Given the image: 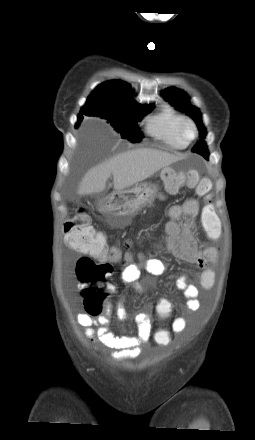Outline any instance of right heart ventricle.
Segmentation results:
<instances>
[{"mask_svg":"<svg viewBox=\"0 0 255 440\" xmlns=\"http://www.w3.org/2000/svg\"><path fill=\"white\" fill-rule=\"evenodd\" d=\"M184 116L171 106L163 107L147 121V132L156 140L172 149H184L188 143L179 135Z\"/></svg>","mask_w":255,"mask_h":440,"instance_id":"e07e8e85","label":"right heart ventricle"}]
</instances>
